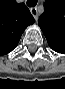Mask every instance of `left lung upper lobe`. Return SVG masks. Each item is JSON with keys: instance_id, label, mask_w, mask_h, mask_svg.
Here are the masks:
<instances>
[{"instance_id": "1", "label": "left lung upper lobe", "mask_w": 65, "mask_h": 89, "mask_svg": "<svg viewBox=\"0 0 65 89\" xmlns=\"http://www.w3.org/2000/svg\"><path fill=\"white\" fill-rule=\"evenodd\" d=\"M38 25L50 47L65 49V0H46Z\"/></svg>"}]
</instances>
